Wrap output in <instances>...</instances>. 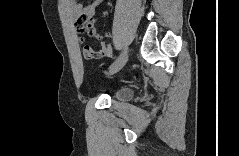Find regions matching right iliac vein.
Listing matches in <instances>:
<instances>
[{"mask_svg": "<svg viewBox=\"0 0 239 156\" xmlns=\"http://www.w3.org/2000/svg\"><path fill=\"white\" fill-rule=\"evenodd\" d=\"M128 60V53L126 52L122 58H120L114 65L110 67V74H115L120 71Z\"/></svg>", "mask_w": 239, "mask_h": 156, "instance_id": "obj_1", "label": "right iliac vein"}]
</instances>
